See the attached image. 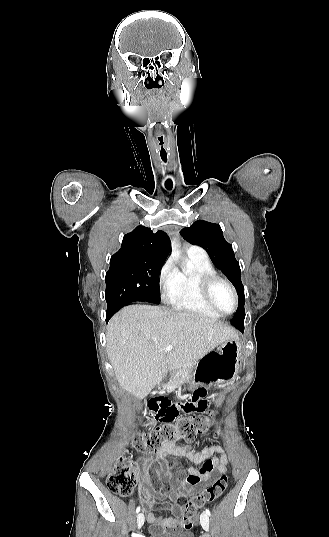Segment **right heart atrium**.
I'll use <instances>...</instances> for the list:
<instances>
[{"label": "right heart atrium", "instance_id": "d8ad5b80", "mask_svg": "<svg viewBox=\"0 0 329 537\" xmlns=\"http://www.w3.org/2000/svg\"><path fill=\"white\" fill-rule=\"evenodd\" d=\"M178 270L175 268L172 260H167L161 267L158 274V284L162 297L168 299L177 286Z\"/></svg>", "mask_w": 329, "mask_h": 537}]
</instances>
